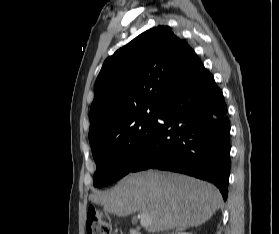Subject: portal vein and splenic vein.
Segmentation results:
<instances>
[{
	"label": "portal vein and splenic vein",
	"mask_w": 279,
	"mask_h": 234,
	"mask_svg": "<svg viewBox=\"0 0 279 234\" xmlns=\"http://www.w3.org/2000/svg\"><path fill=\"white\" fill-rule=\"evenodd\" d=\"M139 216L141 219V226L148 227L151 224V219L147 215L141 213Z\"/></svg>",
	"instance_id": "1"
}]
</instances>
